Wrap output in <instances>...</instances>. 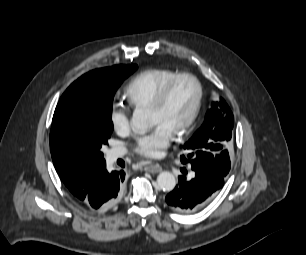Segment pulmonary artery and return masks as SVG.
I'll return each mask as SVG.
<instances>
[{"mask_svg":"<svg viewBox=\"0 0 306 255\" xmlns=\"http://www.w3.org/2000/svg\"><path fill=\"white\" fill-rule=\"evenodd\" d=\"M125 151L123 149H112L108 153V159L109 161H114L117 158L123 156Z\"/></svg>","mask_w":306,"mask_h":255,"instance_id":"pulmonary-artery-1","label":"pulmonary artery"}]
</instances>
